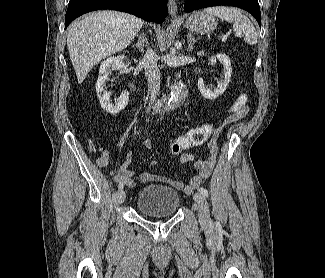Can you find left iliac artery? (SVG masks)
I'll return each mask as SVG.
<instances>
[{
  "label": "left iliac artery",
  "mask_w": 325,
  "mask_h": 278,
  "mask_svg": "<svg viewBox=\"0 0 325 278\" xmlns=\"http://www.w3.org/2000/svg\"><path fill=\"white\" fill-rule=\"evenodd\" d=\"M199 191H200V193L203 194L204 196H206V197L209 196V193H208V191H207L205 188L201 187V188L199 189Z\"/></svg>",
  "instance_id": "left-iliac-artery-1"
}]
</instances>
